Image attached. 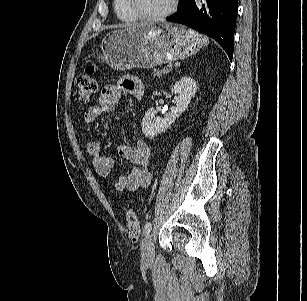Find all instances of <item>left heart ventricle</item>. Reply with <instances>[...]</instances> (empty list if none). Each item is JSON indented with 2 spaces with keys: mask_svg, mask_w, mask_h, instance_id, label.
<instances>
[{
  "mask_svg": "<svg viewBox=\"0 0 307 301\" xmlns=\"http://www.w3.org/2000/svg\"><path fill=\"white\" fill-rule=\"evenodd\" d=\"M172 0H136L139 9L145 14H158L165 11Z\"/></svg>",
  "mask_w": 307,
  "mask_h": 301,
  "instance_id": "1",
  "label": "left heart ventricle"
}]
</instances>
